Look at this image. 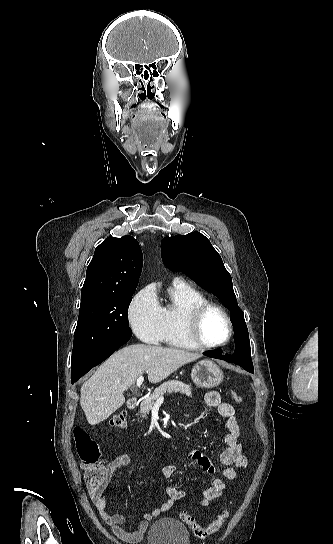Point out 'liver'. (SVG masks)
I'll use <instances>...</instances> for the list:
<instances>
[{
    "instance_id": "6515ba94",
    "label": "liver",
    "mask_w": 333,
    "mask_h": 544,
    "mask_svg": "<svg viewBox=\"0 0 333 544\" xmlns=\"http://www.w3.org/2000/svg\"><path fill=\"white\" fill-rule=\"evenodd\" d=\"M200 357L185 350L144 344L118 350L81 387L80 405L88 423L99 424L118 410L125 402L124 391L143 372L155 384Z\"/></svg>"
}]
</instances>
